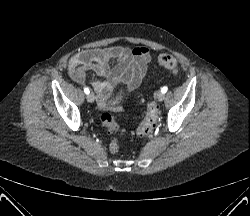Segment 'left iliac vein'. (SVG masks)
Here are the masks:
<instances>
[{
    "mask_svg": "<svg viewBox=\"0 0 250 216\" xmlns=\"http://www.w3.org/2000/svg\"><path fill=\"white\" fill-rule=\"evenodd\" d=\"M156 98L158 99V101H163L165 98V94L160 91L156 94Z\"/></svg>",
    "mask_w": 250,
    "mask_h": 216,
    "instance_id": "1",
    "label": "left iliac vein"
}]
</instances>
